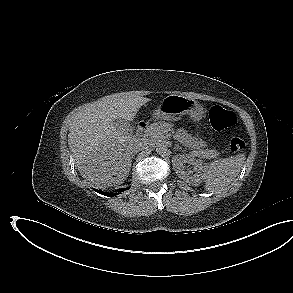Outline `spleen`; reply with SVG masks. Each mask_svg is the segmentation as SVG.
Here are the masks:
<instances>
[{
  "label": "spleen",
  "instance_id": "3e777b00",
  "mask_svg": "<svg viewBox=\"0 0 293 293\" xmlns=\"http://www.w3.org/2000/svg\"><path fill=\"white\" fill-rule=\"evenodd\" d=\"M245 160V154L219 159L207 165L201 175L205 189L215 192L226 188L239 174Z\"/></svg>",
  "mask_w": 293,
  "mask_h": 293
}]
</instances>
